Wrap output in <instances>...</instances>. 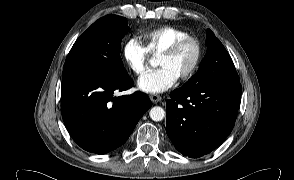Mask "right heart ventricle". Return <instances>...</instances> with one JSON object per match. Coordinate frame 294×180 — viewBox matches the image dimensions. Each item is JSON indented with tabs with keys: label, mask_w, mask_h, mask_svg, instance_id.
Listing matches in <instances>:
<instances>
[{
	"label": "right heart ventricle",
	"mask_w": 294,
	"mask_h": 180,
	"mask_svg": "<svg viewBox=\"0 0 294 180\" xmlns=\"http://www.w3.org/2000/svg\"><path fill=\"white\" fill-rule=\"evenodd\" d=\"M188 36V33L173 26H163L140 34L139 39L145 50L154 56H159L174 41Z\"/></svg>",
	"instance_id": "right-heart-ventricle-1"
}]
</instances>
